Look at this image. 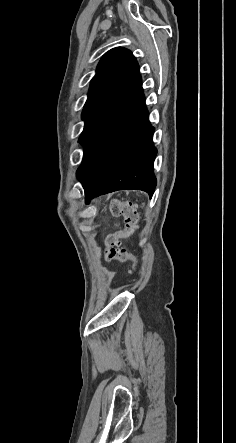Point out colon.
Here are the masks:
<instances>
[{
    "label": "colon",
    "mask_w": 236,
    "mask_h": 443,
    "mask_svg": "<svg viewBox=\"0 0 236 443\" xmlns=\"http://www.w3.org/2000/svg\"><path fill=\"white\" fill-rule=\"evenodd\" d=\"M110 212L114 216L123 215L125 219V228L122 231L110 234L106 239L105 258L107 260H117L119 262H131L135 267L137 264L136 256L129 253L120 246V241L128 238L135 230L138 221L137 208L131 201L112 200L110 203Z\"/></svg>",
    "instance_id": "5ec220e1"
}]
</instances>
